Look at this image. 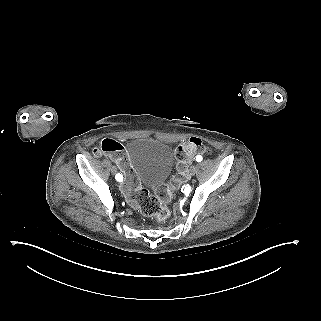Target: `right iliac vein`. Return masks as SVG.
<instances>
[{
    "mask_svg": "<svg viewBox=\"0 0 321 321\" xmlns=\"http://www.w3.org/2000/svg\"><path fill=\"white\" fill-rule=\"evenodd\" d=\"M116 172H117L116 168H115V167H112V168H111V173L114 175V174H116Z\"/></svg>",
    "mask_w": 321,
    "mask_h": 321,
    "instance_id": "63e3f726",
    "label": "right iliac vein"
}]
</instances>
